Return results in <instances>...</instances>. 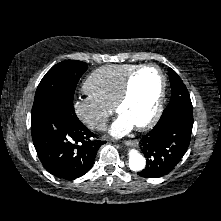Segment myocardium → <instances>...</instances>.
<instances>
[{
    "mask_svg": "<svg viewBox=\"0 0 221 221\" xmlns=\"http://www.w3.org/2000/svg\"><path fill=\"white\" fill-rule=\"evenodd\" d=\"M147 68H154L158 71V73L160 74V77H161V89H160V94H159L158 101H157L153 115L145 123L136 126V128L141 131L153 127L157 123V121L159 120V118L163 112L164 101H165V96H166V89H167V77L159 65H157L155 63H146V64L139 65L138 67H136L127 76V78L124 82L122 91H121V93H120V95L114 105L115 111L117 113H119L120 108L127 102V100L129 99V97L131 95L132 82H133L135 76L139 72H141L142 70L147 69Z\"/></svg>",
    "mask_w": 221,
    "mask_h": 221,
    "instance_id": "1",
    "label": "myocardium"
}]
</instances>
